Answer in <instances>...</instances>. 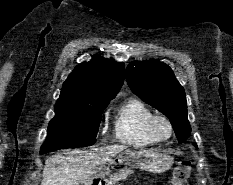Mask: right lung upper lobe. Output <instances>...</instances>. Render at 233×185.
<instances>
[{"label": "right lung upper lobe", "mask_w": 233, "mask_h": 185, "mask_svg": "<svg viewBox=\"0 0 233 185\" xmlns=\"http://www.w3.org/2000/svg\"><path fill=\"white\" fill-rule=\"evenodd\" d=\"M124 64L95 55L79 64L63 83L59 100L78 103L110 101L124 81Z\"/></svg>", "instance_id": "right-lung-upper-lobe-1"}]
</instances>
